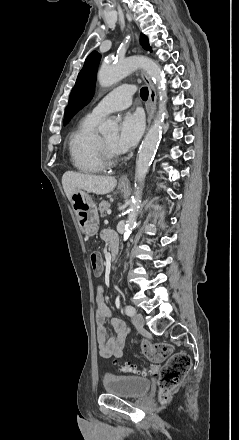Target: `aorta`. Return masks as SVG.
I'll return each mask as SVG.
<instances>
[{
    "instance_id": "1",
    "label": "aorta",
    "mask_w": 239,
    "mask_h": 440,
    "mask_svg": "<svg viewBox=\"0 0 239 440\" xmlns=\"http://www.w3.org/2000/svg\"><path fill=\"white\" fill-rule=\"evenodd\" d=\"M141 66L142 68H145L148 76H151L153 82L158 84L160 90V104L158 116L141 144L138 160L136 162V186L128 210L126 224L127 234L130 232L131 228H133L137 220L146 174L155 154L156 146L160 140L162 112H164L166 106V96L163 94V90H161L162 72L159 64H156V62H153L150 58H135V56H133V58L124 60L122 64H110V62L109 64H102L97 74V82H99L100 86H102V88H109V86L117 84V82L126 78L128 74H131V72H134L137 68H141ZM98 132L99 134H102V136H107V134H118V120H116V118H108V120H105V122L99 126Z\"/></svg>"
}]
</instances>
